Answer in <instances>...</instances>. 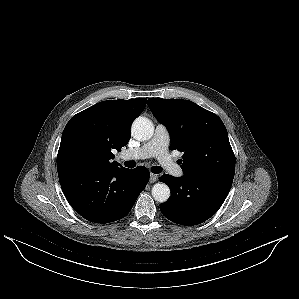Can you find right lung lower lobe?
I'll list each match as a JSON object with an SVG mask.
<instances>
[{"label": "right lung lower lobe", "mask_w": 299, "mask_h": 299, "mask_svg": "<svg viewBox=\"0 0 299 299\" xmlns=\"http://www.w3.org/2000/svg\"><path fill=\"white\" fill-rule=\"evenodd\" d=\"M63 193L82 217L94 223H109L125 217L148 183L147 168H115L90 173L58 174Z\"/></svg>", "instance_id": "1"}]
</instances>
